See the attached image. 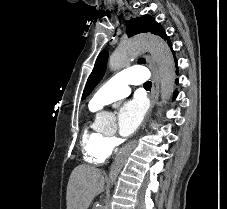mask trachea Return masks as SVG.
I'll return each mask as SVG.
<instances>
[{"label":"trachea","mask_w":227,"mask_h":209,"mask_svg":"<svg viewBox=\"0 0 227 209\" xmlns=\"http://www.w3.org/2000/svg\"><path fill=\"white\" fill-rule=\"evenodd\" d=\"M152 83L150 81L144 83L145 88H151Z\"/></svg>","instance_id":"obj_1"}]
</instances>
